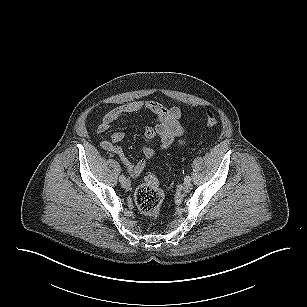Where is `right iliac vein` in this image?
<instances>
[{"label":"right iliac vein","mask_w":307,"mask_h":307,"mask_svg":"<svg viewBox=\"0 0 307 307\" xmlns=\"http://www.w3.org/2000/svg\"><path fill=\"white\" fill-rule=\"evenodd\" d=\"M122 186L124 188H129L131 186V182L127 179H125L123 182H122Z\"/></svg>","instance_id":"right-iliac-vein-1"}]
</instances>
